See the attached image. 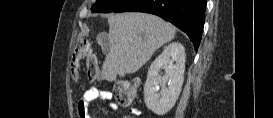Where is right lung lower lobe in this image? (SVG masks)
<instances>
[{
    "mask_svg": "<svg viewBox=\"0 0 273 118\" xmlns=\"http://www.w3.org/2000/svg\"><path fill=\"white\" fill-rule=\"evenodd\" d=\"M206 0H127L114 12L157 15L184 31L197 51L205 21Z\"/></svg>",
    "mask_w": 273,
    "mask_h": 118,
    "instance_id": "right-lung-lower-lobe-1",
    "label": "right lung lower lobe"
}]
</instances>
